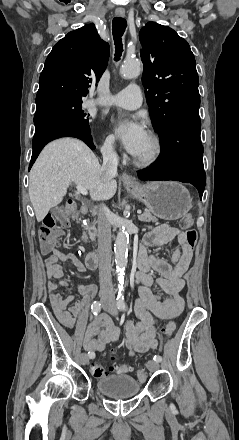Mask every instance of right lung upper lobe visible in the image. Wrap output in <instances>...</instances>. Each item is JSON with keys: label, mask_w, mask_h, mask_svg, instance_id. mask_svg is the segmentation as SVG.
<instances>
[{"label": "right lung upper lobe", "mask_w": 239, "mask_h": 440, "mask_svg": "<svg viewBox=\"0 0 239 440\" xmlns=\"http://www.w3.org/2000/svg\"><path fill=\"white\" fill-rule=\"evenodd\" d=\"M109 53L94 24L69 32L45 61L36 102L53 96L85 97L91 82H98L104 72Z\"/></svg>", "instance_id": "obj_1"}]
</instances>
